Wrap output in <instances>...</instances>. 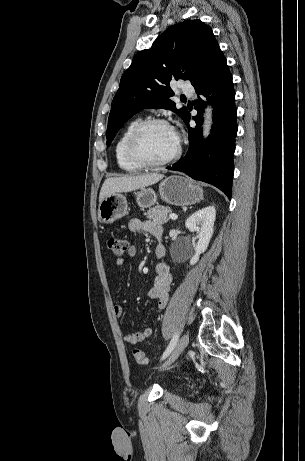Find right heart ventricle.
<instances>
[{"instance_id": "1", "label": "right heart ventricle", "mask_w": 305, "mask_h": 461, "mask_svg": "<svg viewBox=\"0 0 305 461\" xmlns=\"http://www.w3.org/2000/svg\"><path fill=\"white\" fill-rule=\"evenodd\" d=\"M141 119H134L124 128L122 133L120 134L116 144H115V158L116 162L120 169L126 172H137L141 170V167L134 164L127 156L126 152V145L127 141L136 128V126L141 122Z\"/></svg>"}]
</instances>
